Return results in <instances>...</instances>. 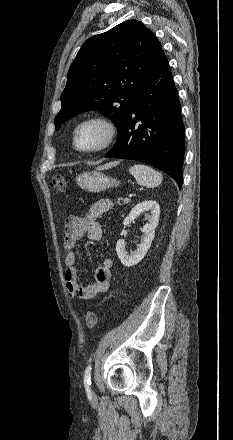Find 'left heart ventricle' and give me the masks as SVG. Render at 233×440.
<instances>
[{
	"instance_id": "1",
	"label": "left heart ventricle",
	"mask_w": 233,
	"mask_h": 440,
	"mask_svg": "<svg viewBox=\"0 0 233 440\" xmlns=\"http://www.w3.org/2000/svg\"><path fill=\"white\" fill-rule=\"evenodd\" d=\"M105 134V129L101 125L96 123L86 124L78 132V146L83 149L95 148L103 142Z\"/></svg>"
}]
</instances>
